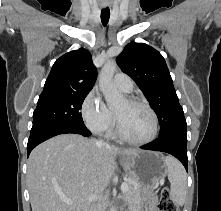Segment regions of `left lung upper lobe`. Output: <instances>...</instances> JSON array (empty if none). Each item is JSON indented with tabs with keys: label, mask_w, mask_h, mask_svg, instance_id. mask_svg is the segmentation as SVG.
<instances>
[{
	"label": "left lung upper lobe",
	"mask_w": 221,
	"mask_h": 211,
	"mask_svg": "<svg viewBox=\"0 0 221 211\" xmlns=\"http://www.w3.org/2000/svg\"><path fill=\"white\" fill-rule=\"evenodd\" d=\"M121 70L139 86L160 123V136L186 129L172 78L163 56L144 43H129L117 57Z\"/></svg>",
	"instance_id": "obj_1"
}]
</instances>
